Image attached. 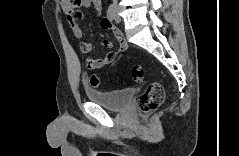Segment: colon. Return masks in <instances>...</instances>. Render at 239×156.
<instances>
[{
    "instance_id": "5ec220e1",
    "label": "colon",
    "mask_w": 239,
    "mask_h": 156,
    "mask_svg": "<svg viewBox=\"0 0 239 156\" xmlns=\"http://www.w3.org/2000/svg\"><path fill=\"white\" fill-rule=\"evenodd\" d=\"M132 77L136 82H143L145 78V70L141 65H135L132 69ZM91 84L99 87L100 80L96 76L91 77ZM165 99L164 88L160 83L154 82L147 86L146 90L139 97L137 108L143 115H149L157 110Z\"/></svg>"
}]
</instances>
